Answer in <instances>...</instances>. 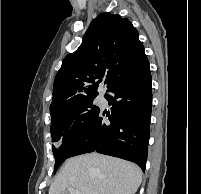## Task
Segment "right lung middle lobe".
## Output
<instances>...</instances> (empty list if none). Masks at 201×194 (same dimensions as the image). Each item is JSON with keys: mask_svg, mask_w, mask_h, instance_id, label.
Listing matches in <instances>:
<instances>
[{"mask_svg": "<svg viewBox=\"0 0 201 194\" xmlns=\"http://www.w3.org/2000/svg\"><path fill=\"white\" fill-rule=\"evenodd\" d=\"M95 97L84 99L73 106L65 114L52 118L51 121V136L52 142L68 139L75 131L88 124L96 115L99 114L100 108L93 105ZM60 149V148H59ZM59 151V150H58ZM53 152L56 159L55 172L59 165L65 160L61 155L56 153L53 146Z\"/></svg>", "mask_w": 201, "mask_h": 194, "instance_id": "obj_1", "label": "right lung middle lobe"}]
</instances>
